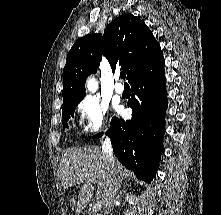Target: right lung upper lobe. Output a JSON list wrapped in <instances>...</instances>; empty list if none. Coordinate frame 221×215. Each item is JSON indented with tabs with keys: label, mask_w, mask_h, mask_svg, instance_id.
I'll use <instances>...</instances> for the list:
<instances>
[{
	"label": "right lung upper lobe",
	"mask_w": 221,
	"mask_h": 215,
	"mask_svg": "<svg viewBox=\"0 0 221 215\" xmlns=\"http://www.w3.org/2000/svg\"><path fill=\"white\" fill-rule=\"evenodd\" d=\"M102 55L112 71L120 65L130 82L159 60L162 51L142 20L132 14L119 16L105 28L103 36L88 34L72 46L63 69V104L82 100L86 78L96 73Z\"/></svg>",
	"instance_id": "cb5924a9"
}]
</instances>
